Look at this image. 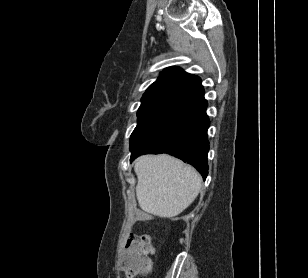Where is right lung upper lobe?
<instances>
[{
	"label": "right lung upper lobe",
	"instance_id": "right-lung-upper-lobe-1",
	"mask_svg": "<svg viewBox=\"0 0 308 278\" xmlns=\"http://www.w3.org/2000/svg\"><path fill=\"white\" fill-rule=\"evenodd\" d=\"M204 99L198 76L181 68L165 69L144 93L137 115L168 114L180 116Z\"/></svg>",
	"mask_w": 308,
	"mask_h": 278
}]
</instances>
